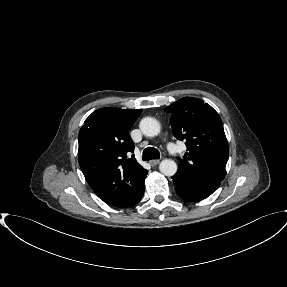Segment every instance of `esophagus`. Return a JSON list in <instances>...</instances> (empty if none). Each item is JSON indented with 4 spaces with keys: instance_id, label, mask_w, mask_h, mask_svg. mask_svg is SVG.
<instances>
[{
    "instance_id": "34e87169",
    "label": "esophagus",
    "mask_w": 287,
    "mask_h": 287,
    "mask_svg": "<svg viewBox=\"0 0 287 287\" xmlns=\"http://www.w3.org/2000/svg\"><path fill=\"white\" fill-rule=\"evenodd\" d=\"M159 163H160V160H151V161H149V164H150L151 166L158 165Z\"/></svg>"
}]
</instances>
